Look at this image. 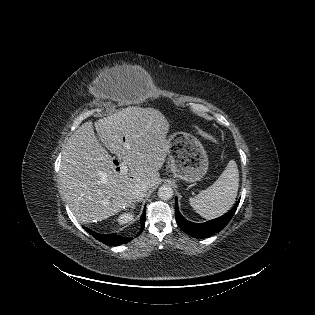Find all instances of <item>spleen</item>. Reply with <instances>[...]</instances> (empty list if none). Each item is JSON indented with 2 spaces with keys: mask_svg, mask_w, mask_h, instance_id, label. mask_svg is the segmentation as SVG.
Wrapping results in <instances>:
<instances>
[{
  "mask_svg": "<svg viewBox=\"0 0 315 315\" xmlns=\"http://www.w3.org/2000/svg\"><path fill=\"white\" fill-rule=\"evenodd\" d=\"M238 187V167L234 160H230L223 173L211 186L189 198L190 205L203 218H216L233 206Z\"/></svg>",
  "mask_w": 315,
  "mask_h": 315,
  "instance_id": "spleen-1",
  "label": "spleen"
}]
</instances>
